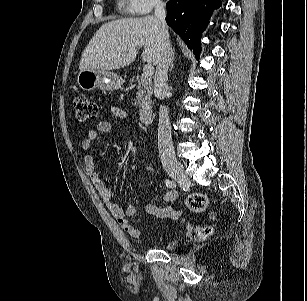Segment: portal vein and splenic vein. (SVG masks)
<instances>
[{
    "label": "portal vein and splenic vein",
    "mask_w": 307,
    "mask_h": 301,
    "mask_svg": "<svg viewBox=\"0 0 307 301\" xmlns=\"http://www.w3.org/2000/svg\"><path fill=\"white\" fill-rule=\"evenodd\" d=\"M154 73V67L152 66V64L147 63L144 67H143V74L145 76H151Z\"/></svg>",
    "instance_id": "1"
}]
</instances>
